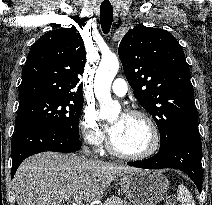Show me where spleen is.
Masks as SVG:
<instances>
[{"label": "spleen", "instance_id": "obj_1", "mask_svg": "<svg viewBox=\"0 0 212 205\" xmlns=\"http://www.w3.org/2000/svg\"><path fill=\"white\" fill-rule=\"evenodd\" d=\"M178 199L181 205H195L192 195L183 184L178 186Z\"/></svg>", "mask_w": 212, "mask_h": 205}]
</instances>
